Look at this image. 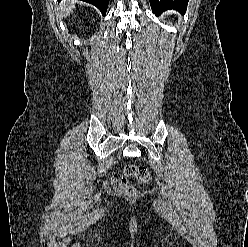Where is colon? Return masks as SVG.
<instances>
[{
  "instance_id": "obj_1",
  "label": "colon",
  "mask_w": 248,
  "mask_h": 247,
  "mask_svg": "<svg viewBox=\"0 0 248 247\" xmlns=\"http://www.w3.org/2000/svg\"><path fill=\"white\" fill-rule=\"evenodd\" d=\"M148 180L149 171L146 166L129 164L124 167L121 173L113 177L112 185L118 192L130 198H134L137 196V189L131 182L144 184Z\"/></svg>"
}]
</instances>
